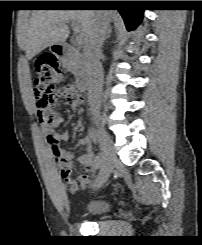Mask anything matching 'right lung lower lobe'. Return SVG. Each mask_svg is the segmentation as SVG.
<instances>
[{
	"label": "right lung lower lobe",
	"mask_w": 202,
	"mask_h": 245,
	"mask_svg": "<svg viewBox=\"0 0 202 245\" xmlns=\"http://www.w3.org/2000/svg\"><path fill=\"white\" fill-rule=\"evenodd\" d=\"M83 7H116L122 15L126 28L130 30L136 27L142 21L143 10L135 8L133 1H82Z\"/></svg>",
	"instance_id": "obj_1"
}]
</instances>
